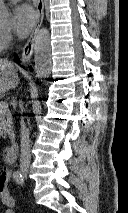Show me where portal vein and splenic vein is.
<instances>
[{"label": "portal vein and splenic vein", "instance_id": "1", "mask_svg": "<svg viewBox=\"0 0 128 213\" xmlns=\"http://www.w3.org/2000/svg\"><path fill=\"white\" fill-rule=\"evenodd\" d=\"M8 108V103L6 101L0 102V110H4Z\"/></svg>", "mask_w": 128, "mask_h": 213}]
</instances>
